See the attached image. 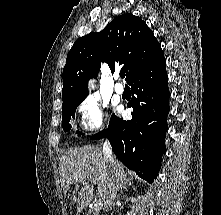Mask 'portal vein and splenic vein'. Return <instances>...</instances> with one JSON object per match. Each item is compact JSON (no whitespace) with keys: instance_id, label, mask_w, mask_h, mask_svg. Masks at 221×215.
I'll return each instance as SVG.
<instances>
[{"instance_id":"portal-vein-and-splenic-vein-1","label":"portal vein and splenic vein","mask_w":221,"mask_h":215,"mask_svg":"<svg viewBox=\"0 0 221 215\" xmlns=\"http://www.w3.org/2000/svg\"><path fill=\"white\" fill-rule=\"evenodd\" d=\"M102 206V200L101 199H98L95 204H94V209H100Z\"/></svg>"}]
</instances>
